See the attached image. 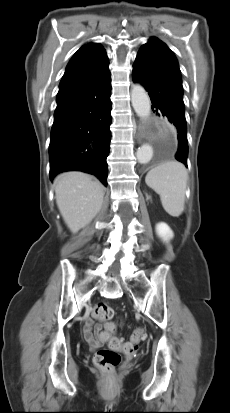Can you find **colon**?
<instances>
[{
    "label": "colon",
    "instance_id": "1",
    "mask_svg": "<svg viewBox=\"0 0 230 413\" xmlns=\"http://www.w3.org/2000/svg\"><path fill=\"white\" fill-rule=\"evenodd\" d=\"M115 314V308L107 303H98L93 315L99 322L110 321ZM146 333L144 329L137 328L133 331L129 341L123 346L124 352L131 354L134 353L138 345L144 340ZM120 340L114 336V333L110 334L109 347L98 350L95 354L94 361L97 366L102 368L108 374L112 373L121 362V356L117 349L121 348Z\"/></svg>",
    "mask_w": 230,
    "mask_h": 413
}]
</instances>
